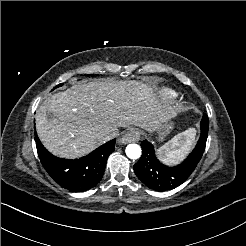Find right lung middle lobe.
I'll return each mask as SVG.
<instances>
[{
  "mask_svg": "<svg viewBox=\"0 0 246 246\" xmlns=\"http://www.w3.org/2000/svg\"><path fill=\"white\" fill-rule=\"evenodd\" d=\"M59 86H62V84H59L58 86H56V87H59ZM55 89V88H54Z\"/></svg>",
  "mask_w": 246,
  "mask_h": 246,
  "instance_id": "right-lung-middle-lobe-1",
  "label": "right lung middle lobe"
}]
</instances>
